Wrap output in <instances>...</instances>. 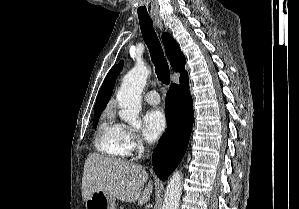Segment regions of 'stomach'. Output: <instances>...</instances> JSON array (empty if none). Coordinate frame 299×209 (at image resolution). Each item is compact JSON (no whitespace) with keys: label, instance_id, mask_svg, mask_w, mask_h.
Segmentation results:
<instances>
[{"label":"stomach","instance_id":"obj_1","mask_svg":"<svg viewBox=\"0 0 299 209\" xmlns=\"http://www.w3.org/2000/svg\"><path fill=\"white\" fill-rule=\"evenodd\" d=\"M86 209H116L115 198L103 191L94 192L85 202Z\"/></svg>","mask_w":299,"mask_h":209}]
</instances>
